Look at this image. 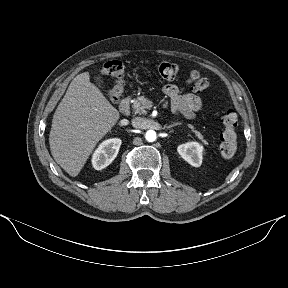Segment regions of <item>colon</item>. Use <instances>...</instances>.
Here are the masks:
<instances>
[{
    "mask_svg": "<svg viewBox=\"0 0 288 288\" xmlns=\"http://www.w3.org/2000/svg\"><path fill=\"white\" fill-rule=\"evenodd\" d=\"M104 75L114 78V86L109 91L110 99L115 102L121 95L124 87V66L120 61L111 60L104 64L102 68ZM159 75L166 80H173L178 74V67L170 62H162L158 65ZM189 83L197 92L204 91L209 87L206 78L201 77L196 71L189 75ZM224 132L221 135L220 153L224 158H231L237 150L236 127L238 116L234 110H228L222 117Z\"/></svg>",
    "mask_w": 288,
    "mask_h": 288,
    "instance_id": "5ec220e1",
    "label": "colon"
}]
</instances>
